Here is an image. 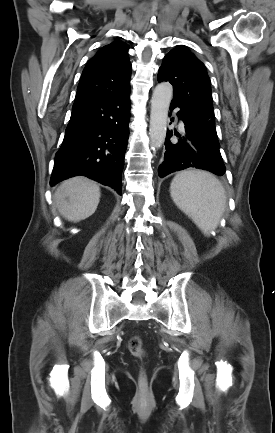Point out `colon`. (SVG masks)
Masks as SVG:
<instances>
[{
  "mask_svg": "<svg viewBox=\"0 0 275 433\" xmlns=\"http://www.w3.org/2000/svg\"><path fill=\"white\" fill-rule=\"evenodd\" d=\"M128 349L130 353L138 359H143L145 356L144 345L138 336H134L129 340ZM146 383H147L146 374L143 370H141L139 373V384L142 390L145 389Z\"/></svg>",
  "mask_w": 275,
  "mask_h": 433,
  "instance_id": "obj_1",
  "label": "colon"
}]
</instances>
